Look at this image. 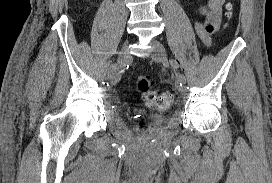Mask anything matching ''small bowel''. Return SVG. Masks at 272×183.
Instances as JSON below:
<instances>
[{
    "label": "small bowel",
    "mask_w": 272,
    "mask_h": 183,
    "mask_svg": "<svg viewBox=\"0 0 272 183\" xmlns=\"http://www.w3.org/2000/svg\"><path fill=\"white\" fill-rule=\"evenodd\" d=\"M224 3L225 0H207L199 9L200 15H202L205 20L204 22L196 20L194 27L198 37L205 46L211 45V34L216 31L220 25Z\"/></svg>",
    "instance_id": "1"
}]
</instances>
